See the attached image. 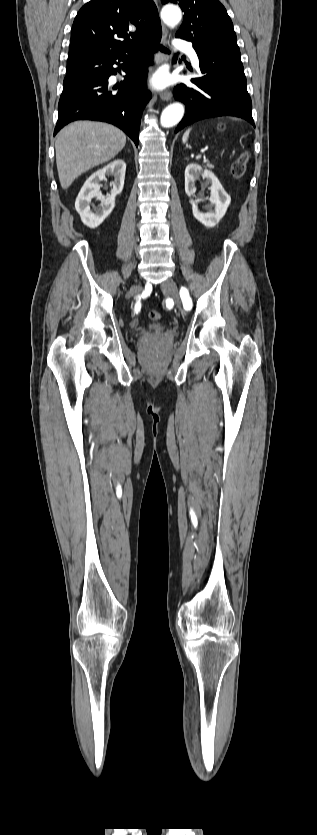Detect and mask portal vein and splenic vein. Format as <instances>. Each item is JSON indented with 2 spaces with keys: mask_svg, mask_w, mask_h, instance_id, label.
Segmentation results:
<instances>
[{
  "mask_svg": "<svg viewBox=\"0 0 317 835\" xmlns=\"http://www.w3.org/2000/svg\"><path fill=\"white\" fill-rule=\"evenodd\" d=\"M203 158H204V161H205V162H208V159H207L206 157H203Z\"/></svg>",
  "mask_w": 317,
  "mask_h": 835,
  "instance_id": "portal-vein-and-splenic-vein-1",
  "label": "portal vein and splenic vein"
}]
</instances>
